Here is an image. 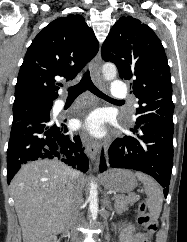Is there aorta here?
<instances>
[{"mask_svg": "<svg viewBox=\"0 0 187 242\" xmlns=\"http://www.w3.org/2000/svg\"><path fill=\"white\" fill-rule=\"evenodd\" d=\"M102 73L106 80H113L117 74L116 66L112 63H105L102 67ZM89 211L92 219L96 220L98 212V191L97 184H95L93 181L90 183Z\"/></svg>", "mask_w": 187, "mask_h": 242, "instance_id": "aorta-1", "label": "aorta"}]
</instances>
